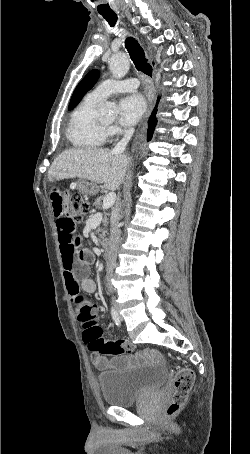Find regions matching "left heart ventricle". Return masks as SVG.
Masks as SVG:
<instances>
[{"instance_id":"left-heart-ventricle-1","label":"left heart ventricle","mask_w":250,"mask_h":454,"mask_svg":"<svg viewBox=\"0 0 250 454\" xmlns=\"http://www.w3.org/2000/svg\"><path fill=\"white\" fill-rule=\"evenodd\" d=\"M104 122H105V123H107V124H109V123H110V121H109V120H104Z\"/></svg>"}]
</instances>
